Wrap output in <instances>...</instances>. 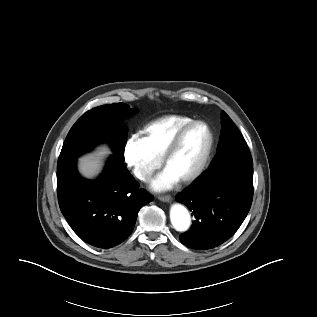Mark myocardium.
<instances>
[{
	"label": "myocardium",
	"mask_w": 317,
	"mask_h": 317,
	"mask_svg": "<svg viewBox=\"0 0 317 317\" xmlns=\"http://www.w3.org/2000/svg\"><path fill=\"white\" fill-rule=\"evenodd\" d=\"M197 125H202L203 127H205L207 134H208V143H207L206 150H205L199 164L197 165V167L190 174L179 179L184 184H188V183L195 181L197 178H199L202 175V173L205 171V169L208 166V163L210 161L211 154H212L213 148H214V134H213V131H212L211 127L209 126V124L203 120H192L189 123H187L185 126H183L176 133V135L174 136L173 140L171 141L170 145L168 146V148L164 154V157H163V163L167 167L169 161L172 159V157L178 151L185 135L193 127H195Z\"/></svg>",
	"instance_id": "obj_1"
}]
</instances>
